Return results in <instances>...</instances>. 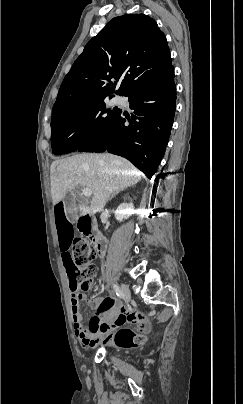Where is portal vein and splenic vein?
Returning <instances> with one entry per match:
<instances>
[{
	"instance_id": "obj_1",
	"label": "portal vein and splenic vein",
	"mask_w": 243,
	"mask_h": 404,
	"mask_svg": "<svg viewBox=\"0 0 243 404\" xmlns=\"http://www.w3.org/2000/svg\"><path fill=\"white\" fill-rule=\"evenodd\" d=\"M83 196H92V192L90 190V188H83Z\"/></svg>"
}]
</instances>
